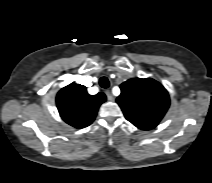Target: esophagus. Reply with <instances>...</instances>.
<instances>
[{"label":"esophagus","instance_id":"esophagus-1","mask_svg":"<svg viewBox=\"0 0 212 183\" xmlns=\"http://www.w3.org/2000/svg\"><path fill=\"white\" fill-rule=\"evenodd\" d=\"M106 95H107V98L109 101H114V96L112 95L111 91L110 90H106L105 91Z\"/></svg>","mask_w":212,"mask_h":183}]
</instances>
